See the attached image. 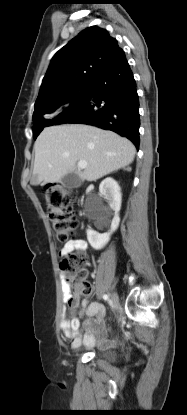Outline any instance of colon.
I'll return each mask as SVG.
<instances>
[{"mask_svg":"<svg viewBox=\"0 0 187 415\" xmlns=\"http://www.w3.org/2000/svg\"><path fill=\"white\" fill-rule=\"evenodd\" d=\"M47 210L51 223L60 242H66L71 232L77 229L79 219L73 206L71 190L59 183H50L46 187ZM86 264L83 252H74L62 259L60 266L71 274V292L88 294L90 285L84 282L82 268Z\"/></svg>","mask_w":187,"mask_h":415,"instance_id":"5ec220e1","label":"colon"}]
</instances>
